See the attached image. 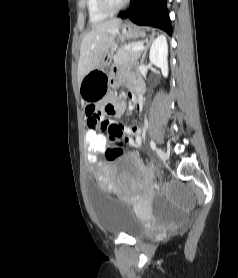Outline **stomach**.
<instances>
[{
    "instance_id": "obj_1",
    "label": "stomach",
    "mask_w": 238,
    "mask_h": 278,
    "mask_svg": "<svg viewBox=\"0 0 238 278\" xmlns=\"http://www.w3.org/2000/svg\"><path fill=\"white\" fill-rule=\"evenodd\" d=\"M117 35L118 40L136 39L145 37V31L131 23H124L119 26ZM112 59L113 49L104 56L98 68L91 70L82 78L79 92L81 98L86 102L97 101L105 94L110 83L108 68Z\"/></svg>"
}]
</instances>
